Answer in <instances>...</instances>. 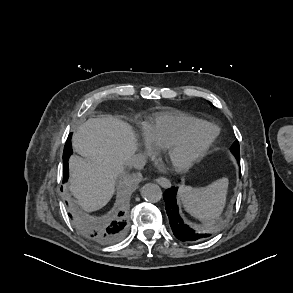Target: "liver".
<instances>
[{"instance_id": "liver-1", "label": "liver", "mask_w": 293, "mask_h": 293, "mask_svg": "<svg viewBox=\"0 0 293 293\" xmlns=\"http://www.w3.org/2000/svg\"><path fill=\"white\" fill-rule=\"evenodd\" d=\"M72 146L81 157H70L69 189L84 210H98L110 201L116 178L137 150L135 134L115 117L91 118L73 134Z\"/></svg>"}]
</instances>
